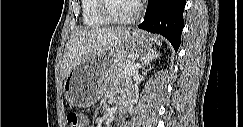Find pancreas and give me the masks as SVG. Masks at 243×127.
Listing matches in <instances>:
<instances>
[{
  "label": "pancreas",
  "instance_id": "cf45deb5",
  "mask_svg": "<svg viewBox=\"0 0 243 127\" xmlns=\"http://www.w3.org/2000/svg\"><path fill=\"white\" fill-rule=\"evenodd\" d=\"M134 67V64L130 61H121L118 62L115 66L109 71V79L111 80H129L132 75L124 73L126 69H131Z\"/></svg>",
  "mask_w": 243,
  "mask_h": 127
}]
</instances>
